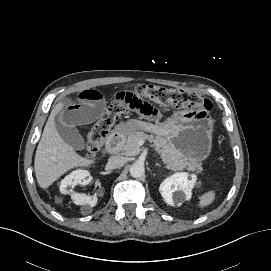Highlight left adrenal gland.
Here are the masks:
<instances>
[{
	"mask_svg": "<svg viewBox=\"0 0 271 271\" xmlns=\"http://www.w3.org/2000/svg\"><path fill=\"white\" fill-rule=\"evenodd\" d=\"M155 167L161 168V165L158 164V163H156V164H155Z\"/></svg>",
	"mask_w": 271,
	"mask_h": 271,
	"instance_id": "a2214340",
	"label": "left adrenal gland"
}]
</instances>
